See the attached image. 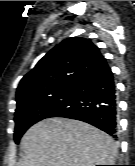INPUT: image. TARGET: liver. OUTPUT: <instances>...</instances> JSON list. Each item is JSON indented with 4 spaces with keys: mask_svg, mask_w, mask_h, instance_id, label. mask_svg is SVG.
Segmentation results:
<instances>
[{
    "mask_svg": "<svg viewBox=\"0 0 135 166\" xmlns=\"http://www.w3.org/2000/svg\"><path fill=\"white\" fill-rule=\"evenodd\" d=\"M18 166H94L115 162L117 147L105 132L78 120L48 118L24 134Z\"/></svg>",
    "mask_w": 135,
    "mask_h": 166,
    "instance_id": "liver-1",
    "label": "liver"
}]
</instances>
